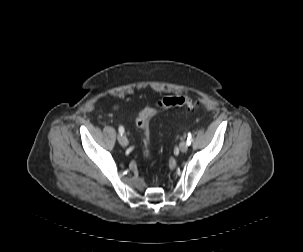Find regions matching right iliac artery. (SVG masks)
I'll return each instance as SVG.
<instances>
[{"label":"right iliac artery","mask_w":303,"mask_h":252,"mask_svg":"<svg viewBox=\"0 0 303 252\" xmlns=\"http://www.w3.org/2000/svg\"><path fill=\"white\" fill-rule=\"evenodd\" d=\"M119 133L123 134L124 133V128L122 126L119 127Z\"/></svg>","instance_id":"1"}]
</instances>
